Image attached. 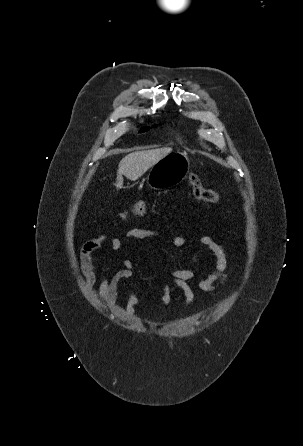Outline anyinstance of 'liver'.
<instances>
[{
  "label": "liver",
  "mask_w": 303,
  "mask_h": 446,
  "mask_svg": "<svg viewBox=\"0 0 303 446\" xmlns=\"http://www.w3.org/2000/svg\"><path fill=\"white\" fill-rule=\"evenodd\" d=\"M172 151L171 148L135 151L125 156L119 163L115 186L121 189L124 175L131 181L140 178L150 167Z\"/></svg>",
  "instance_id": "obj_1"
}]
</instances>
